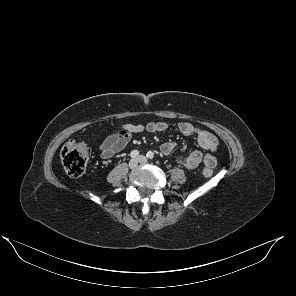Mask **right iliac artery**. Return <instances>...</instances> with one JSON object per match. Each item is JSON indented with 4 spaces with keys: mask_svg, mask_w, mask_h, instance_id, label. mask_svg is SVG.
<instances>
[{
    "mask_svg": "<svg viewBox=\"0 0 296 296\" xmlns=\"http://www.w3.org/2000/svg\"><path fill=\"white\" fill-rule=\"evenodd\" d=\"M138 155H139V151L138 150H133L130 153V157H132V158H136Z\"/></svg>",
    "mask_w": 296,
    "mask_h": 296,
    "instance_id": "right-iliac-artery-1",
    "label": "right iliac artery"
}]
</instances>
